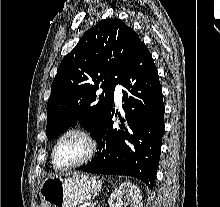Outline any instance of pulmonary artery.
<instances>
[{
  "label": "pulmonary artery",
  "mask_w": 220,
  "mask_h": 207,
  "mask_svg": "<svg viewBox=\"0 0 220 207\" xmlns=\"http://www.w3.org/2000/svg\"><path fill=\"white\" fill-rule=\"evenodd\" d=\"M114 96H115V102L117 103V105H121V103H122V88L120 85L115 86Z\"/></svg>",
  "instance_id": "e3ab8cb5"
}]
</instances>
